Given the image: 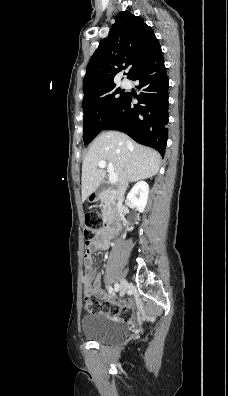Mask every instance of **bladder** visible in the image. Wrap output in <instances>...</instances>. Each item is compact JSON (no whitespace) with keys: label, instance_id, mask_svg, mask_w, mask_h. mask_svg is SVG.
<instances>
[{"label":"bladder","instance_id":"obj_1","mask_svg":"<svg viewBox=\"0 0 228 396\" xmlns=\"http://www.w3.org/2000/svg\"><path fill=\"white\" fill-rule=\"evenodd\" d=\"M82 333L89 340L112 344L125 340L130 330L127 323L104 314H90L82 319Z\"/></svg>","mask_w":228,"mask_h":396}]
</instances>
